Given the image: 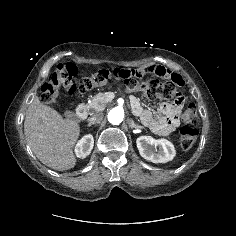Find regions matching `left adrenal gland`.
<instances>
[{
    "label": "left adrenal gland",
    "instance_id": "left-adrenal-gland-1",
    "mask_svg": "<svg viewBox=\"0 0 236 236\" xmlns=\"http://www.w3.org/2000/svg\"><path fill=\"white\" fill-rule=\"evenodd\" d=\"M129 125H130V127L131 128H140V126L139 125H136L135 123H134V121L133 120H129Z\"/></svg>",
    "mask_w": 236,
    "mask_h": 236
}]
</instances>
